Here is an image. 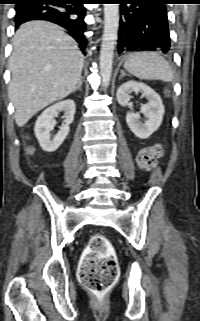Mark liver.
<instances>
[{
	"mask_svg": "<svg viewBox=\"0 0 200 321\" xmlns=\"http://www.w3.org/2000/svg\"><path fill=\"white\" fill-rule=\"evenodd\" d=\"M9 59V98L23 127L37 112L67 97L77 87L84 57L76 41L45 21L20 26Z\"/></svg>",
	"mask_w": 200,
	"mask_h": 321,
	"instance_id": "1",
	"label": "liver"
}]
</instances>
